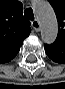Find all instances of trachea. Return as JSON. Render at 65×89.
Segmentation results:
<instances>
[{
    "label": "trachea",
    "instance_id": "obj_1",
    "mask_svg": "<svg viewBox=\"0 0 65 89\" xmlns=\"http://www.w3.org/2000/svg\"><path fill=\"white\" fill-rule=\"evenodd\" d=\"M24 16L27 20H31L33 21L34 20V14H33V10L31 8H27L25 11H24Z\"/></svg>",
    "mask_w": 65,
    "mask_h": 89
}]
</instances>
